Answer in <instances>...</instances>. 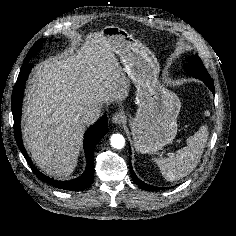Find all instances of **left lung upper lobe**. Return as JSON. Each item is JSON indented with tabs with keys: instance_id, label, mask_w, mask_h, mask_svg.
Here are the masks:
<instances>
[{
	"instance_id": "obj_1",
	"label": "left lung upper lobe",
	"mask_w": 236,
	"mask_h": 236,
	"mask_svg": "<svg viewBox=\"0 0 236 236\" xmlns=\"http://www.w3.org/2000/svg\"><path fill=\"white\" fill-rule=\"evenodd\" d=\"M186 72L194 77H210L199 56L193 55L188 58L185 66Z\"/></svg>"
}]
</instances>
